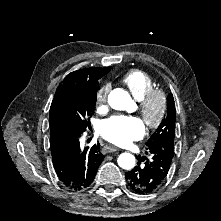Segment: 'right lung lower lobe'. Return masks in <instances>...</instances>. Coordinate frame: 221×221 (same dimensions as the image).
<instances>
[{
  "label": "right lung lower lobe",
  "mask_w": 221,
  "mask_h": 221,
  "mask_svg": "<svg viewBox=\"0 0 221 221\" xmlns=\"http://www.w3.org/2000/svg\"><path fill=\"white\" fill-rule=\"evenodd\" d=\"M82 133H66L53 141L50 148L55 172L61 183L71 190H83L91 185L104 156L100 144L80 148Z\"/></svg>",
  "instance_id": "98d812e1"
}]
</instances>
